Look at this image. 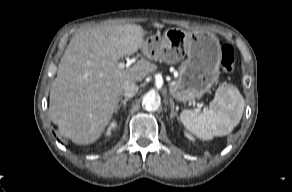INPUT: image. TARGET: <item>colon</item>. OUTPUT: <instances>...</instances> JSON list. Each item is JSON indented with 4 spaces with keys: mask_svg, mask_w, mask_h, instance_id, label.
Instances as JSON below:
<instances>
[{
    "mask_svg": "<svg viewBox=\"0 0 292 192\" xmlns=\"http://www.w3.org/2000/svg\"><path fill=\"white\" fill-rule=\"evenodd\" d=\"M235 63V53L231 46L223 44L221 46V67L229 73L233 70Z\"/></svg>",
    "mask_w": 292,
    "mask_h": 192,
    "instance_id": "obj_1",
    "label": "colon"
}]
</instances>
